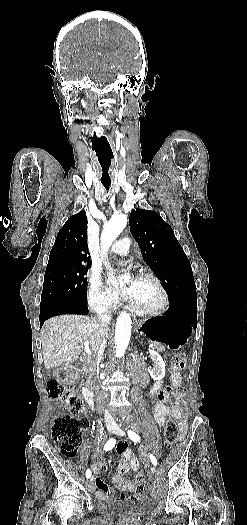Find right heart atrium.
Returning <instances> with one entry per match:
<instances>
[{
    "instance_id": "d8ad5b80",
    "label": "right heart atrium",
    "mask_w": 247,
    "mask_h": 525,
    "mask_svg": "<svg viewBox=\"0 0 247 525\" xmlns=\"http://www.w3.org/2000/svg\"><path fill=\"white\" fill-rule=\"evenodd\" d=\"M87 298L89 306L95 312L109 311L113 306L112 298L98 273L92 274L89 279Z\"/></svg>"
}]
</instances>
